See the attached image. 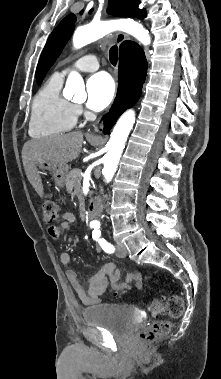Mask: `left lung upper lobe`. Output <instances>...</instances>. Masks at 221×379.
<instances>
[{
    "label": "left lung upper lobe",
    "instance_id": "1",
    "mask_svg": "<svg viewBox=\"0 0 221 379\" xmlns=\"http://www.w3.org/2000/svg\"><path fill=\"white\" fill-rule=\"evenodd\" d=\"M139 0H109V12L119 17H138L142 18L145 14L144 9H138ZM83 11H81L82 13ZM76 16L70 14L65 17L49 36L47 43L40 56L37 70L36 81L40 85L60 55L63 47L71 37L75 27Z\"/></svg>",
    "mask_w": 221,
    "mask_h": 379
}]
</instances>
